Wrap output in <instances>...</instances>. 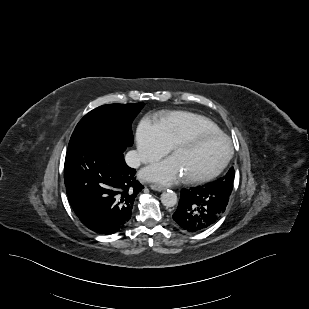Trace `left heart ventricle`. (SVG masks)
Listing matches in <instances>:
<instances>
[{"label": "left heart ventricle", "instance_id": "b2bd125f", "mask_svg": "<svg viewBox=\"0 0 309 309\" xmlns=\"http://www.w3.org/2000/svg\"><path fill=\"white\" fill-rule=\"evenodd\" d=\"M227 151L221 138H205L174 152L186 176L203 175L213 171L223 160Z\"/></svg>", "mask_w": 309, "mask_h": 309}]
</instances>
